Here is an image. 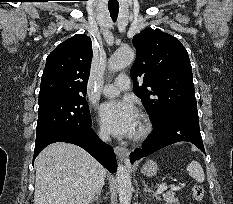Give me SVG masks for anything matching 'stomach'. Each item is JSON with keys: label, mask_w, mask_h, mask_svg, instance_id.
Instances as JSON below:
<instances>
[{"label": "stomach", "mask_w": 233, "mask_h": 204, "mask_svg": "<svg viewBox=\"0 0 233 204\" xmlns=\"http://www.w3.org/2000/svg\"><path fill=\"white\" fill-rule=\"evenodd\" d=\"M142 172L144 173V175L147 176H153L156 172H157V165L154 161H148L143 169Z\"/></svg>", "instance_id": "obj_1"}]
</instances>
